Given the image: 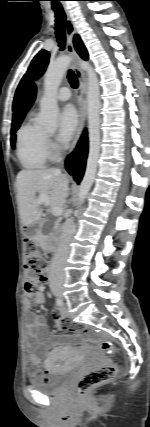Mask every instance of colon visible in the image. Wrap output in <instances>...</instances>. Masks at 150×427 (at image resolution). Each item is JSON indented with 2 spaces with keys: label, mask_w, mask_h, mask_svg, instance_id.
<instances>
[{
  "label": "colon",
  "mask_w": 150,
  "mask_h": 427,
  "mask_svg": "<svg viewBox=\"0 0 150 427\" xmlns=\"http://www.w3.org/2000/svg\"><path fill=\"white\" fill-rule=\"evenodd\" d=\"M24 248L26 254L25 288L29 294H34L39 291L42 285L48 280V266L34 240L26 238L24 240ZM98 343L106 354H113L114 349L110 342L100 340ZM116 373L117 367L115 365H108L88 372L78 380L76 384V393L78 396L83 397L94 388L113 379Z\"/></svg>",
  "instance_id": "1"
}]
</instances>
